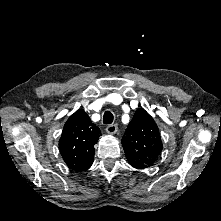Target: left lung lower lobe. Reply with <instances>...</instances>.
Wrapping results in <instances>:
<instances>
[{"label": "left lung lower lobe", "instance_id": "obj_1", "mask_svg": "<svg viewBox=\"0 0 221 221\" xmlns=\"http://www.w3.org/2000/svg\"><path fill=\"white\" fill-rule=\"evenodd\" d=\"M129 164H130L132 167H134V168H135V165H134L133 163L129 162Z\"/></svg>", "mask_w": 221, "mask_h": 221}]
</instances>
